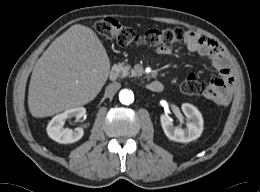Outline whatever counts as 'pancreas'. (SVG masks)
<instances>
[{
    "instance_id": "pancreas-1",
    "label": "pancreas",
    "mask_w": 260,
    "mask_h": 192,
    "mask_svg": "<svg viewBox=\"0 0 260 192\" xmlns=\"http://www.w3.org/2000/svg\"><path fill=\"white\" fill-rule=\"evenodd\" d=\"M118 67L121 70L122 77H125V76L133 77V76L138 75L136 71H134L133 69H130L131 68L130 65H125V63H119Z\"/></svg>"
}]
</instances>
